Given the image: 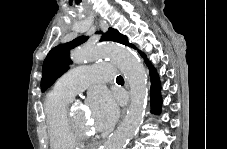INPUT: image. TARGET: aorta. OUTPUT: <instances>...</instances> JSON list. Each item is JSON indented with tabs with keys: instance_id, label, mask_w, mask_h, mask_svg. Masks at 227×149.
<instances>
[{
	"instance_id": "1",
	"label": "aorta",
	"mask_w": 227,
	"mask_h": 149,
	"mask_svg": "<svg viewBox=\"0 0 227 149\" xmlns=\"http://www.w3.org/2000/svg\"><path fill=\"white\" fill-rule=\"evenodd\" d=\"M102 58H109L117 65L130 85L131 102L126 116L104 145V149H125L142 123L148 92L147 74L134 53L120 45L84 46L71 52L74 63Z\"/></svg>"
}]
</instances>
